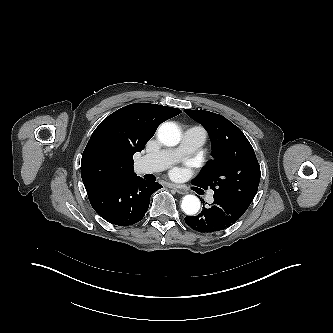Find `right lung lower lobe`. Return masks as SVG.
Here are the masks:
<instances>
[{"label":"right lung lower lobe","instance_id":"obj_1","mask_svg":"<svg viewBox=\"0 0 333 333\" xmlns=\"http://www.w3.org/2000/svg\"><path fill=\"white\" fill-rule=\"evenodd\" d=\"M162 188L139 176L114 181L88 194L93 209L109 223L128 226L139 222L148 210L150 196Z\"/></svg>","mask_w":333,"mask_h":333}]
</instances>
